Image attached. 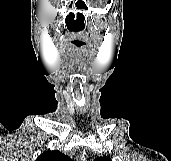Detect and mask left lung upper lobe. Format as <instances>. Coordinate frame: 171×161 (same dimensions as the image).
<instances>
[{
  "label": "left lung upper lobe",
  "instance_id": "5c2ea615",
  "mask_svg": "<svg viewBox=\"0 0 171 161\" xmlns=\"http://www.w3.org/2000/svg\"><path fill=\"white\" fill-rule=\"evenodd\" d=\"M94 161H112V160L110 157L103 156V157L96 158Z\"/></svg>",
  "mask_w": 171,
  "mask_h": 161
}]
</instances>
